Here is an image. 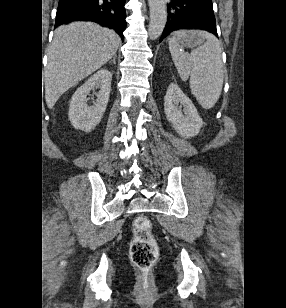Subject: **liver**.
Returning <instances> with one entry per match:
<instances>
[{"instance_id":"liver-1","label":"liver","mask_w":286,"mask_h":308,"mask_svg":"<svg viewBox=\"0 0 286 308\" xmlns=\"http://www.w3.org/2000/svg\"><path fill=\"white\" fill-rule=\"evenodd\" d=\"M115 31L90 22L58 27L48 52L45 102L52 109L60 96L106 64L117 52Z\"/></svg>"}]
</instances>
